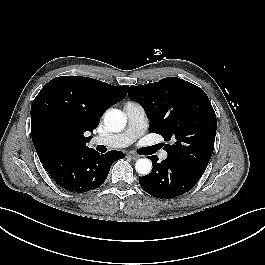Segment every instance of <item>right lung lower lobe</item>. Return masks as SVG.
Returning <instances> with one entry per match:
<instances>
[{"label":"right lung lower lobe","mask_w":265,"mask_h":265,"mask_svg":"<svg viewBox=\"0 0 265 265\" xmlns=\"http://www.w3.org/2000/svg\"><path fill=\"white\" fill-rule=\"evenodd\" d=\"M124 157L125 154L120 151L99 154L94 149H88L43 162L42 165L62 188L81 193L100 187L111 165Z\"/></svg>","instance_id":"98d812e1"}]
</instances>
